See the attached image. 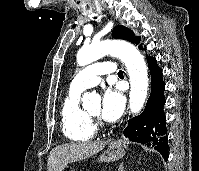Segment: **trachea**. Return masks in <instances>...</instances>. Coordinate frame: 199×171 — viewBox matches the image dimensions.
Here are the masks:
<instances>
[{"mask_svg": "<svg viewBox=\"0 0 199 171\" xmlns=\"http://www.w3.org/2000/svg\"><path fill=\"white\" fill-rule=\"evenodd\" d=\"M95 18H96V17H95ZM118 75H119V76H123V71L120 70V71L118 72Z\"/></svg>", "mask_w": 199, "mask_h": 171, "instance_id": "1", "label": "trachea"}]
</instances>
